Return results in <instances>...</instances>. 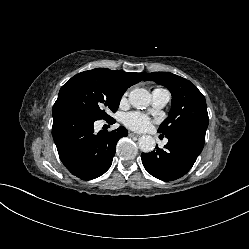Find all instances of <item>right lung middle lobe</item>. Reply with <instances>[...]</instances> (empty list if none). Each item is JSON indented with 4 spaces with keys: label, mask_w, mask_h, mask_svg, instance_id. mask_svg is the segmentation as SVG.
I'll use <instances>...</instances> for the list:
<instances>
[{
    "label": "right lung middle lobe",
    "mask_w": 249,
    "mask_h": 249,
    "mask_svg": "<svg viewBox=\"0 0 249 249\" xmlns=\"http://www.w3.org/2000/svg\"><path fill=\"white\" fill-rule=\"evenodd\" d=\"M123 94L111 81L89 70L64 84L54 105L73 108L93 120H110L108 112L117 111Z\"/></svg>",
    "instance_id": "obj_1"
}]
</instances>
